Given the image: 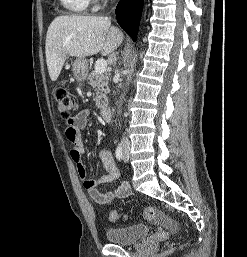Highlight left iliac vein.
<instances>
[{"label":"left iliac vein","instance_id":"4c4485c4","mask_svg":"<svg viewBox=\"0 0 247 257\" xmlns=\"http://www.w3.org/2000/svg\"><path fill=\"white\" fill-rule=\"evenodd\" d=\"M123 161L124 162L128 161V153L127 152H125V154H124Z\"/></svg>","mask_w":247,"mask_h":257}]
</instances>
